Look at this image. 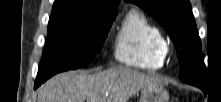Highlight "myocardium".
I'll list each match as a JSON object with an SVG mask.
<instances>
[{"label": "myocardium", "instance_id": "f54148a6", "mask_svg": "<svg viewBox=\"0 0 221 102\" xmlns=\"http://www.w3.org/2000/svg\"><path fill=\"white\" fill-rule=\"evenodd\" d=\"M168 52H169V47H168L167 44H166V46H165V55H167Z\"/></svg>", "mask_w": 221, "mask_h": 102}]
</instances>
